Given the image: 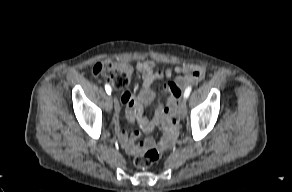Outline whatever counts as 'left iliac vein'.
<instances>
[{
  "label": "left iliac vein",
  "mask_w": 292,
  "mask_h": 192,
  "mask_svg": "<svg viewBox=\"0 0 292 192\" xmlns=\"http://www.w3.org/2000/svg\"><path fill=\"white\" fill-rule=\"evenodd\" d=\"M186 115V99H183L178 110L179 119H184Z\"/></svg>",
  "instance_id": "4c4485c4"
}]
</instances>
